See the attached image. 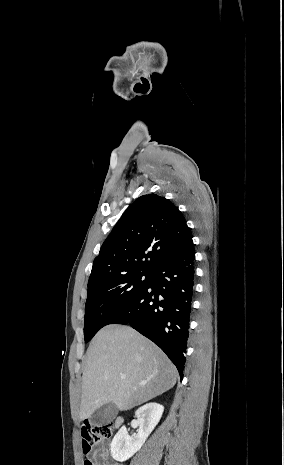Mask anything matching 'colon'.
Segmentation results:
<instances>
[{
    "label": "colon",
    "mask_w": 284,
    "mask_h": 465,
    "mask_svg": "<svg viewBox=\"0 0 284 465\" xmlns=\"http://www.w3.org/2000/svg\"><path fill=\"white\" fill-rule=\"evenodd\" d=\"M112 428L108 422L94 423L82 432L81 450L83 455H87L92 450L94 444L102 442L110 437ZM83 465H94L89 459L83 461Z\"/></svg>",
    "instance_id": "colon-1"
}]
</instances>
